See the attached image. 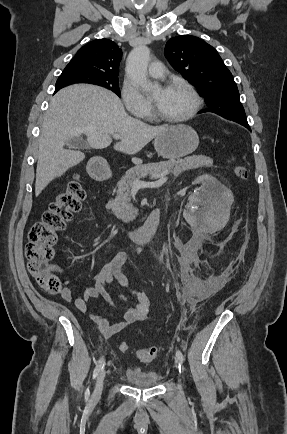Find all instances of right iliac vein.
Returning a JSON list of instances; mask_svg holds the SVG:
<instances>
[{"label": "right iliac vein", "mask_w": 287, "mask_h": 434, "mask_svg": "<svg viewBox=\"0 0 287 434\" xmlns=\"http://www.w3.org/2000/svg\"><path fill=\"white\" fill-rule=\"evenodd\" d=\"M105 377H106V370L103 369L100 372V374L98 375L97 380H96L95 388L93 391V398L94 399H98L101 396Z\"/></svg>", "instance_id": "right-iliac-vein-1"}]
</instances>
